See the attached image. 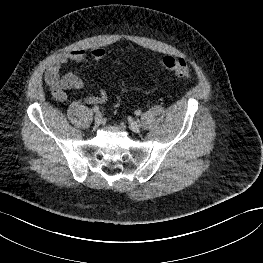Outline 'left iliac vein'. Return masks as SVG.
<instances>
[{"instance_id":"4c4485c4","label":"left iliac vein","mask_w":263,"mask_h":263,"mask_svg":"<svg viewBox=\"0 0 263 263\" xmlns=\"http://www.w3.org/2000/svg\"><path fill=\"white\" fill-rule=\"evenodd\" d=\"M129 128L133 131V132H139L140 131V123L138 121H131L129 123Z\"/></svg>"}]
</instances>
